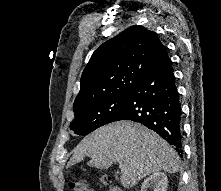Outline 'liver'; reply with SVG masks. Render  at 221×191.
<instances>
[{
	"mask_svg": "<svg viewBox=\"0 0 221 191\" xmlns=\"http://www.w3.org/2000/svg\"><path fill=\"white\" fill-rule=\"evenodd\" d=\"M85 156L91 159L88 165L101 169L118 162L120 181L125 188L135 186L151 173L179 170L175 150L152 130L131 121L102 126L86 136L74 150L69 164L79 163Z\"/></svg>",
	"mask_w": 221,
	"mask_h": 191,
	"instance_id": "1",
	"label": "liver"
}]
</instances>
